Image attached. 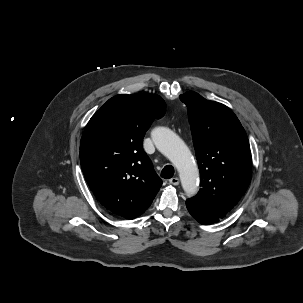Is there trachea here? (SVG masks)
<instances>
[{
  "mask_svg": "<svg viewBox=\"0 0 303 303\" xmlns=\"http://www.w3.org/2000/svg\"><path fill=\"white\" fill-rule=\"evenodd\" d=\"M174 175V168L172 165H166L162 172H161V177L165 179H170Z\"/></svg>",
  "mask_w": 303,
  "mask_h": 303,
  "instance_id": "3493384b",
  "label": "trachea"
}]
</instances>
